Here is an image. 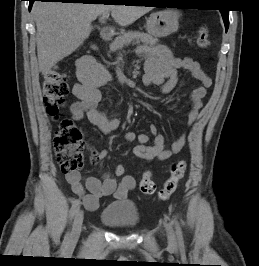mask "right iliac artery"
Returning <instances> with one entry per match:
<instances>
[{
  "instance_id": "right-iliac-artery-1",
  "label": "right iliac artery",
  "mask_w": 259,
  "mask_h": 266,
  "mask_svg": "<svg viewBox=\"0 0 259 266\" xmlns=\"http://www.w3.org/2000/svg\"><path fill=\"white\" fill-rule=\"evenodd\" d=\"M80 207V201L79 200H75L72 204V207L70 209V213H69V218L70 220H72L75 216V214L78 212ZM65 240L68 241L69 240V233L66 235Z\"/></svg>"
}]
</instances>
